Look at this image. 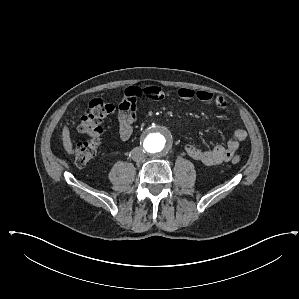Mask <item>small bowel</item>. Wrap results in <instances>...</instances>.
Returning <instances> with one entry per match:
<instances>
[{
	"label": "small bowel",
	"mask_w": 299,
	"mask_h": 299,
	"mask_svg": "<svg viewBox=\"0 0 299 299\" xmlns=\"http://www.w3.org/2000/svg\"><path fill=\"white\" fill-rule=\"evenodd\" d=\"M177 95L183 100L198 99L204 105H214L220 110L227 108V102L222 96H215L204 90L194 91L193 89L181 87L177 90ZM139 98L150 101H160L165 98V93L159 87H129L123 93L118 103L117 128L118 137L121 141H128L133 135V123L136 120V103ZM248 138V133L244 129H237L233 132L226 146L217 145L213 148L200 147L186 144L184 150L186 154L195 161L205 166H218L231 159L239 149L241 143Z\"/></svg>",
	"instance_id": "1"
}]
</instances>
